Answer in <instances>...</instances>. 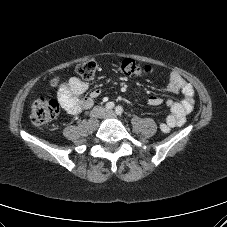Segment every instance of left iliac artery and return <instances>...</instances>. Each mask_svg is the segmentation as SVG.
Wrapping results in <instances>:
<instances>
[{
    "label": "left iliac artery",
    "mask_w": 227,
    "mask_h": 227,
    "mask_svg": "<svg viewBox=\"0 0 227 227\" xmlns=\"http://www.w3.org/2000/svg\"><path fill=\"white\" fill-rule=\"evenodd\" d=\"M115 112H116L117 115H122V113H123V108H122L121 106H117V107L115 108Z\"/></svg>",
    "instance_id": "obj_1"
}]
</instances>
